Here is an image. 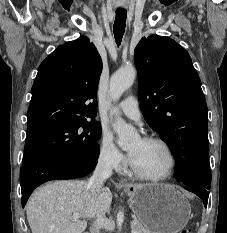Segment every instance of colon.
Returning <instances> with one entry per match:
<instances>
[{
    "instance_id": "5ec220e1",
    "label": "colon",
    "mask_w": 227,
    "mask_h": 233,
    "mask_svg": "<svg viewBox=\"0 0 227 233\" xmlns=\"http://www.w3.org/2000/svg\"><path fill=\"white\" fill-rule=\"evenodd\" d=\"M179 233H193L191 229H182Z\"/></svg>"
}]
</instances>
